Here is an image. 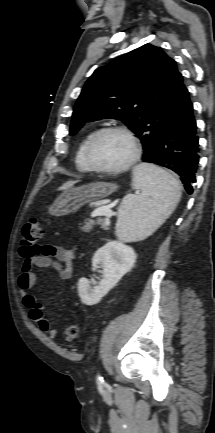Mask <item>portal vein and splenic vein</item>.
Returning a JSON list of instances; mask_svg holds the SVG:
<instances>
[{"mask_svg":"<svg viewBox=\"0 0 215 433\" xmlns=\"http://www.w3.org/2000/svg\"><path fill=\"white\" fill-rule=\"evenodd\" d=\"M112 215H113V212L111 211L109 206H101V207L97 208L96 210H94L91 214L92 217L105 216V218H106L105 223L107 226L110 224L109 218H111Z\"/></svg>","mask_w":215,"mask_h":433,"instance_id":"obj_1","label":"portal vein and splenic vein"}]
</instances>
